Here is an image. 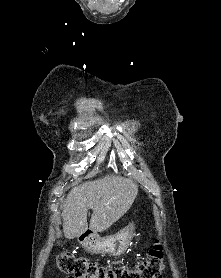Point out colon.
Wrapping results in <instances>:
<instances>
[{
	"label": "colon",
	"instance_id": "1",
	"mask_svg": "<svg viewBox=\"0 0 221 278\" xmlns=\"http://www.w3.org/2000/svg\"><path fill=\"white\" fill-rule=\"evenodd\" d=\"M59 271L69 278H161L164 253L161 245H153L147 257L134 267L112 269L70 253L60 254L56 261Z\"/></svg>",
	"mask_w": 221,
	"mask_h": 278
}]
</instances>
